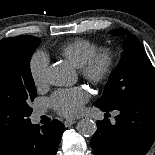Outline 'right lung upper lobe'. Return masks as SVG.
I'll use <instances>...</instances> for the list:
<instances>
[{
  "label": "right lung upper lobe",
  "mask_w": 155,
  "mask_h": 155,
  "mask_svg": "<svg viewBox=\"0 0 155 155\" xmlns=\"http://www.w3.org/2000/svg\"><path fill=\"white\" fill-rule=\"evenodd\" d=\"M25 36H27V35H23V36H18V37H25ZM14 38H16V37H14Z\"/></svg>",
  "instance_id": "right-lung-upper-lobe-1"
}]
</instances>
